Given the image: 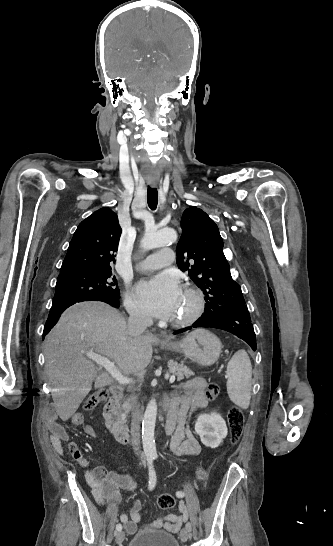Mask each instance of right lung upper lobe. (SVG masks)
<instances>
[{"mask_svg":"<svg viewBox=\"0 0 333 546\" xmlns=\"http://www.w3.org/2000/svg\"><path fill=\"white\" fill-rule=\"evenodd\" d=\"M122 229L109 208L95 211L77 227L59 276L75 272L111 271Z\"/></svg>","mask_w":333,"mask_h":546,"instance_id":"obj_1","label":"right lung upper lobe"}]
</instances>
